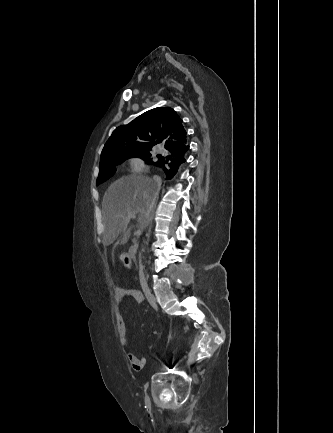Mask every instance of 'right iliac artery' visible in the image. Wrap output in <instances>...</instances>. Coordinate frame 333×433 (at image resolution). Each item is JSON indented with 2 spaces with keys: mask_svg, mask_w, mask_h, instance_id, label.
Returning <instances> with one entry per match:
<instances>
[{
  "mask_svg": "<svg viewBox=\"0 0 333 433\" xmlns=\"http://www.w3.org/2000/svg\"><path fill=\"white\" fill-rule=\"evenodd\" d=\"M147 387H148V383H146V385H145V390L147 389ZM145 407H150L151 406V401H150V398H149V396L146 394L145 395Z\"/></svg>",
  "mask_w": 333,
  "mask_h": 433,
  "instance_id": "right-iliac-artery-1",
  "label": "right iliac artery"
}]
</instances>
